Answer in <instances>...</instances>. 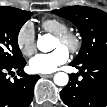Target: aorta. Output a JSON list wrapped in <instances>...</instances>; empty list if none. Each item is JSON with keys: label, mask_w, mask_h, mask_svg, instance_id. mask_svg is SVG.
Masks as SVG:
<instances>
[{"label": "aorta", "mask_w": 107, "mask_h": 107, "mask_svg": "<svg viewBox=\"0 0 107 107\" xmlns=\"http://www.w3.org/2000/svg\"><path fill=\"white\" fill-rule=\"evenodd\" d=\"M37 48L42 52H49L54 48V38L50 34L42 35L37 40ZM69 76L64 72H58L54 75V83L58 86H66Z\"/></svg>", "instance_id": "1"}]
</instances>
